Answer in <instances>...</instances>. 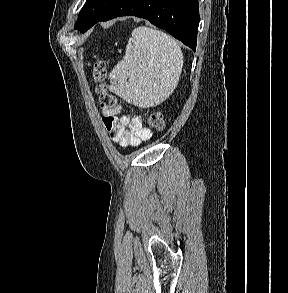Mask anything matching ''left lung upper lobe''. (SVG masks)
Here are the masks:
<instances>
[{"label": "left lung upper lobe", "instance_id": "left-lung-upper-lobe-1", "mask_svg": "<svg viewBox=\"0 0 288 293\" xmlns=\"http://www.w3.org/2000/svg\"><path fill=\"white\" fill-rule=\"evenodd\" d=\"M118 0H87L80 11L75 29L86 32L91 28Z\"/></svg>", "mask_w": 288, "mask_h": 293}]
</instances>
